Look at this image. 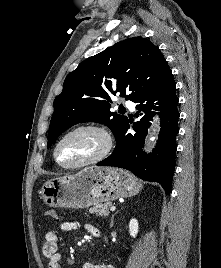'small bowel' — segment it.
<instances>
[{"instance_id":"obj_1","label":"small bowel","mask_w":221,"mask_h":268,"mask_svg":"<svg viewBox=\"0 0 221 268\" xmlns=\"http://www.w3.org/2000/svg\"><path fill=\"white\" fill-rule=\"evenodd\" d=\"M76 228V223L64 222L61 224L63 231H69ZM86 231L93 237L99 236V230L92 224L85 225ZM44 257L48 261V268H62L61 255L59 252V234L56 230H49L45 233L42 247ZM82 268H114L109 264L85 263Z\"/></svg>"}]
</instances>
